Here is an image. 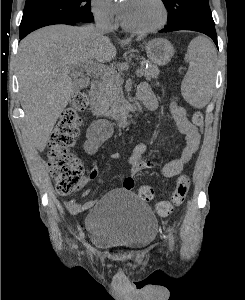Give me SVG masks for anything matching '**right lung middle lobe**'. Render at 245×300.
<instances>
[{
  "label": "right lung middle lobe",
  "instance_id": "1",
  "mask_svg": "<svg viewBox=\"0 0 245 300\" xmlns=\"http://www.w3.org/2000/svg\"><path fill=\"white\" fill-rule=\"evenodd\" d=\"M90 0H26L20 34L52 24L92 22Z\"/></svg>",
  "mask_w": 245,
  "mask_h": 300
}]
</instances>
